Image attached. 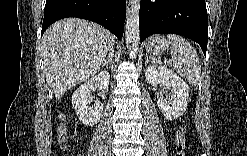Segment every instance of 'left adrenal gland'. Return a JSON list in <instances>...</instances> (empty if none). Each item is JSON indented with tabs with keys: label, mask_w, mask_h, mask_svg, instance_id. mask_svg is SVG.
<instances>
[{
	"label": "left adrenal gland",
	"mask_w": 247,
	"mask_h": 156,
	"mask_svg": "<svg viewBox=\"0 0 247 156\" xmlns=\"http://www.w3.org/2000/svg\"><path fill=\"white\" fill-rule=\"evenodd\" d=\"M149 62V57L146 55V61H145V65H147Z\"/></svg>",
	"instance_id": "1"
}]
</instances>
